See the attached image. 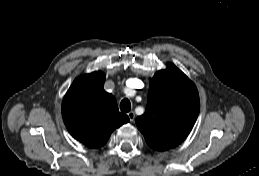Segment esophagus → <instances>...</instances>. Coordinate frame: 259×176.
<instances>
[{
  "instance_id": "obj_1",
  "label": "esophagus",
  "mask_w": 259,
  "mask_h": 176,
  "mask_svg": "<svg viewBox=\"0 0 259 176\" xmlns=\"http://www.w3.org/2000/svg\"><path fill=\"white\" fill-rule=\"evenodd\" d=\"M128 117H129L130 121L133 122L135 119V113L133 111H130L128 113Z\"/></svg>"
}]
</instances>
